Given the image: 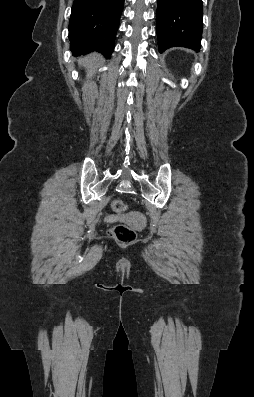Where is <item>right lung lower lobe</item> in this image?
<instances>
[{"instance_id":"obj_1","label":"right lung lower lobe","mask_w":254,"mask_h":397,"mask_svg":"<svg viewBox=\"0 0 254 397\" xmlns=\"http://www.w3.org/2000/svg\"><path fill=\"white\" fill-rule=\"evenodd\" d=\"M124 0H74L69 22L74 56L92 51L110 58Z\"/></svg>"}]
</instances>
